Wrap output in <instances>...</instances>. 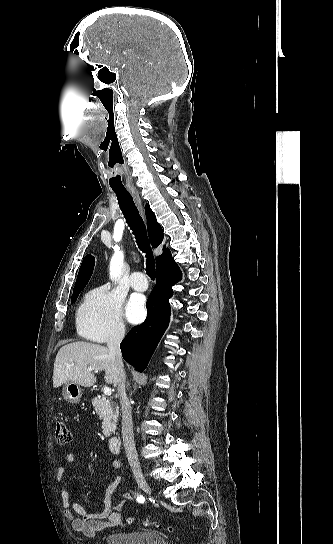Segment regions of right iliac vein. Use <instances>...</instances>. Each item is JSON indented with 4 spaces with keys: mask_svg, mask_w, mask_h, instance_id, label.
I'll use <instances>...</instances> for the list:
<instances>
[{
    "mask_svg": "<svg viewBox=\"0 0 333 544\" xmlns=\"http://www.w3.org/2000/svg\"><path fill=\"white\" fill-rule=\"evenodd\" d=\"M134 476H135V479L139 485V487L147 494H151V488L150 486L148 485V483L146 482L142 472L140 469H135L134 470Z\"/></svg>",
    "mask_w": 333,
    "mask_h": 544,
    "instance_id": "obj_1",
    "label": "right iliac vein"
}]
</instances>
